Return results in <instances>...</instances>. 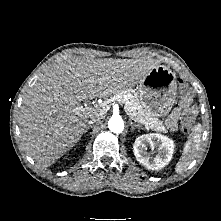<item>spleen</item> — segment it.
Returning <instances> with one entry per match:
<instances>
[{"mask_svg":"<svg viewBox=\"0 0 221 221\" xmlns=\"http://www.w3.org/2000/svg\"><path fill=\"white\" fill-rule=\"evenodd\" d=\"M200 129V125H196L194 127V133L192 137L185 144L184 154L180 161L176 164V172H182L184 169H186L187 166L190 164L191 160L195 157L200 142Z\"/></svg>","mask_w":221,"mask_h":221,"instance_id":"obj_1","label":"spleen"}]
</instances>
